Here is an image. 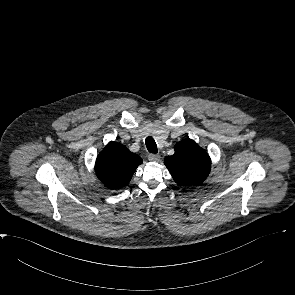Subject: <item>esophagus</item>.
I'll list each match as a JSON object with an SVG mask.
<instances>
[{"label":"esophagus","instance_id":"esophagus-1","mask_svg":"<svg viewBox=\"0 0 295 295\" xmlns=\"http://www.w3.org/2000/svg\"><path fill=\"white\" fill-rule=\"evenodd\" d=\"M148 160L152 162H158L160 160V155L158 154H149Z\"/></svg>","mask_w":295,"mask_h":295}]
</instances>
